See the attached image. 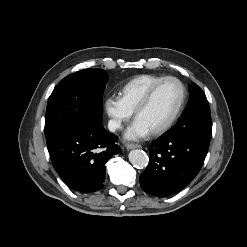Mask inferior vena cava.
<instances>
[{
    "mask_svg": "<svg viewBox=\"0 0 247 247\" xmlns=\"http://www.w3.org/2000/svg\"><path fill=\"white\" fill-rule=\"evenodd\" d=\"M119 127V124L116 121L110 120L108 122V128L110 131L114 132Z\"/></svg>",
    "mask_w": 247,
    "mask_h": 247,
    "instance_id": "obj_1",
    "label": "inferior vena cava"
}]
</instances>
